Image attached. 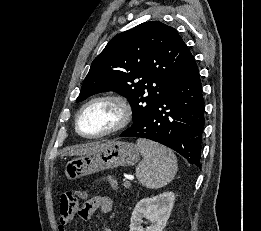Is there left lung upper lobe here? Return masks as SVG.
<instances>
[{"label": "left lung upper lobe", "mask_w": 261, "mask_h": 231, "mask_svg": "<svg viewBox=\"0 0 261 231\" xmlns=\"http://www.w3.org/2000/svg\"><path fill=\"white\" fill-rule=\"evenodd\" d=\"M195 65L174 28L159 21L144 22L110 40L92 62L76 101L99 92H118L128 99L135 123Z\"/></svg>", "instance_id": "5c2ea615"}]
</instances>
